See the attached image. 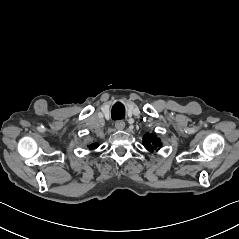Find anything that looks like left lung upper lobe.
<instances>
[{"label":"left lung upper lobe","mask_w":239,"mask_h":239,"mask_svg":"<svg viewBox=\"0 0 239 239\" xmlns=\"http://www.w3.org/2000/svg\"><path fill=\"white\" fill-rule=\"evenodd\" d=\"M143 145L148 151L153 152V150L161 147L162 143L160 139L156 137V135L147 133L143 137Z\"/></svg>","instance_id":"left-lung-upper-lobe-1"}]
</instances>
